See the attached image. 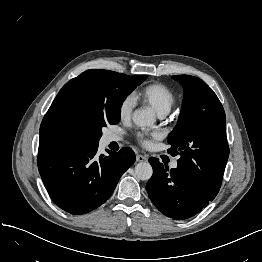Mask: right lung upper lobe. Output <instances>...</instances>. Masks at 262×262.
I'll use <instances>...</instances> for the list:
<instances>
[{
  "label": "right lung upper lobe",
  "instance_id": "1",
  "mask_svg": "<svg viewBox=\"0 0 262 262\" xmlns=\"http://www.w3.org/2000/svg\"><path fill=\"white\" fill-rule=\"evenodd\" d=\"M117 72L87 70L67 82L51 104L40 126V142L70 141L71 113L81 91L93 90L109 99V88Z\"/></svg>",
  "mask_w": 262,
  "mask_h": 262
}]
</instances>
